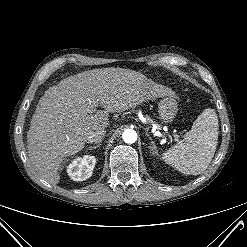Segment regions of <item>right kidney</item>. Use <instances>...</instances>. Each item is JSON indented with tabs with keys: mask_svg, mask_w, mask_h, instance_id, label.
<instances>
[{
	"mask_svg": "<svg viewBox=\"0 0 247 247\" xmlns=\"http://www.w3.org/2000/svg\"><path fill=\"white\" fill-rule=\"evenodd\" d=\"M95 163V156L78 157L67 166V173L74 181H84L92 175Z\"/></svg>",
	"mask_w": 247,
	"mask_h": 247,
	"instance_id": "1",
	"label": "right kidney"
}]
</instances>
